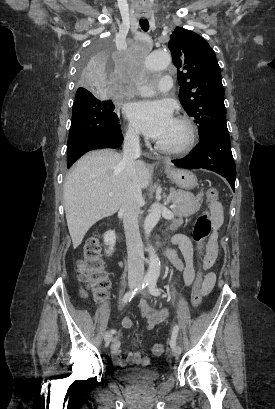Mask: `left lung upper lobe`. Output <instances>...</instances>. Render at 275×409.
I'll return each instance as SVG.
<instances>
[{
	"mask_svg": "<svg viewBox=\"0 0 275 409\" xmlns=\"http://www.w3.org/2000/svg\"><path fill=\"white\" fill-rule=\"evenodd\" d=\"M177 67L179 99L186 113L195 118L199 135L228 131L221 70L209 44L193 31L177 27L168 43Z\"/></svg>",
	"mask_w": 275,
	"mask_h": 409,
	"instance_id": "left-lung-upper-lobe-1",
	"label": "left lung upper lobe"
}]
</instances>
